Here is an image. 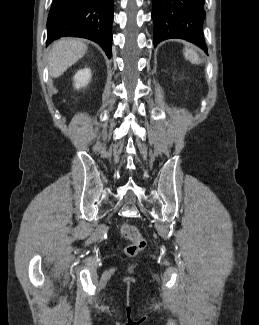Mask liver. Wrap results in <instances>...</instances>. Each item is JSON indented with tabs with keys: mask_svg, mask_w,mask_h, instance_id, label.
Segmentation results:
<instances>
[{
	"mask_svg": "<svg viewBox=\"0 0 259 325\" xmlns=\"http://www.w3.org/2000/svg\"><path fill=\"white\" fill-rule=\"evenodd\" d=\"M87 51V46L81 40L60 39L51 45L48 56L50 76H61L71 65L81 59Z\"/></svg>",
	"mask_w": 259,
	"mask_h": 325,
	"instance_id": "6515ba94",
	"label": "liver"
}]
</instances>
